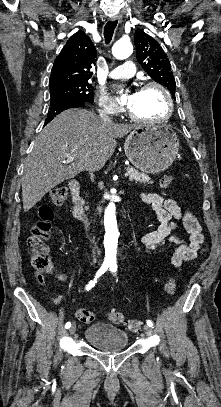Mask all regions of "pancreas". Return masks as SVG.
<instances>
[{"label":"pancreas","instance_id":"pancreas-1","mask_svg":"<svg viewBox=\"0 0 221 407\" xmlns=\"http://www.w3.org/2000/svg\"><path fill=\"white\" fill-rule=\"evenodd\" d=\"M127 171L129 172L130 181L152 184L150 177L146 173L139 172L137 169L131 166L127 167Z\"/></svg>","mask_w":221,"mask_h":407}]
</instances>
